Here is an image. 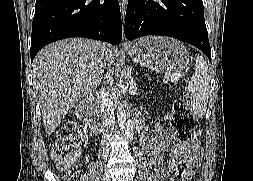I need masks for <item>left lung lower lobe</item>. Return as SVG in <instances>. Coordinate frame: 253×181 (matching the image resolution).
I'll return each mask as SVG.
<instances>
[{
  "mask_svg": "<svg viewBox=\"0 0 253 181\" xmlns=\"http://www.w3.org/2000/svg\"><path fill=\"white\" fill-rule=\"evenodd\" d=\"M169 36L199 48L211 60L202 0H129L125 36Z\"/></svg>",
  "mask_w": 253,
  "mask_h": 181,
  "instance_id": "obj_1",
  "label": "left lung lower lobe"
}]
</instances>
